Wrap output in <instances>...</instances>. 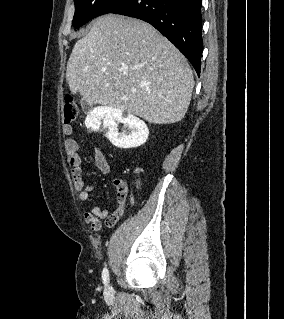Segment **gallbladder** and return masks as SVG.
I'll return each instance as SVG.
<instances>
[{
  "label": "gallbladder",
  "mask_w": 284,
  "mask_h": 319,
  "mask_svg": "<svg viewBox=\"0 0 284 319\" xmlns=\"http://www.w3.org/2000/svg\"><path fill=\"white\" fill-rule=\"evenodd\" d=\"M84 106H85V107H88V103H87V102H84Z\"/></svg>",
  "instance_id": "obj_1"
}]
</instances>
